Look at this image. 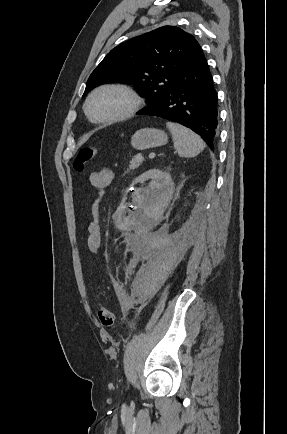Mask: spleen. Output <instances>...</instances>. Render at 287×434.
<instances>
[{
  "label": "spleen",
  "instance_id": "obj_1",
  "mask_svg": "<svg viewBox=\"0 0 287 434\" xmlns=\"http://www.w3.org/2000/svg\"><path fill=\"white\" fill-rule=\"evenodd\" d=\"M166 126L172 134L174 147L180 157H195L204 149L202 139L190 129L172 122H167Z\"/></svg>",
  "mask_w": 287,
  "mask_h": 434
}]
</instances>
